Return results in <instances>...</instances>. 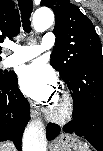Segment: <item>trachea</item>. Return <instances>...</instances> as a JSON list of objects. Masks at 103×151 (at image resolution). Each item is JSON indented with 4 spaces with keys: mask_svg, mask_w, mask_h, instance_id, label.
<instances>
[{
    "mask_svg": "<svg viewBox=\"0 0 103 151\" xmlns=\"http://www.w3.org/2000/svg\"><path fill=\"white\" fill-rule=\"evenodd\" d=\"M18 5L21 11L23 28L25 32L29 33L31 31L30 16L33 10V1L32 0H18Z\"/></svg>",
    "mask_w": 103,
    "mask_h": 151,
    "instance_id": "obj_1",
    "label": "trachea"
}]
</instances>
